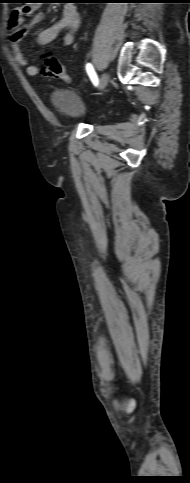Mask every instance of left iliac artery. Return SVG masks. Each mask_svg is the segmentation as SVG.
<instances>
[{
	"instance_id": "44dca946",
	"label": "left iliac artery",
	"mask_w": 190,
	"mask_h": 483,
	"mask_svg": "<svg viewBox=\"0 0 190 483\" xmlns=\"http://www.w3.org/2000/svg\"><path fill=\"white\" fill-rule=\"evenodd\" d=\"M86 70H87V73H88V75H89V77H90V79H91L92 83H93L95 86H97V85H98V77H97V75H96V73H95V71H94L93 66H92L90 63H88V64L86 65Z\"/></svg>"
}]
</instances>
